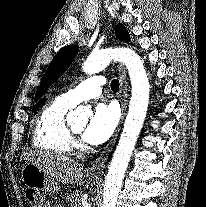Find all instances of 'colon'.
I'll return each mask as SVG.
<instances>
[{"label": "colon", "mask_w": 206, "mask_h": 207, "mask_svg": "<svg viewBox=\"0 0 206 207\" xmlns=\"http://www.w3.org/2000/svg\"><path fill=\"white\" fill-rule=\"evenodd\" d=\"M27 198L31 207H47L46 198L38 191H28Z\"/></svg>", "instance_id": "obj_1"}]
</instances>
